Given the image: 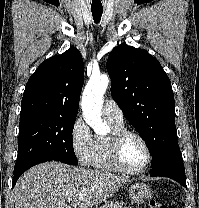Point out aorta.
<instances>
[{
    "label": "aorta",
    "mask_w": 199,
    "mask_h": 208,
    "mask_svg": "<svg viewBox=\"0 0 199 208\" xmlns=\"http://www.w3.org/2000/svg\"><path fill=\"white\" fill-rule=\"evenodd\" d=\"M108 84V75H92L82 96L81 106L84 119L98 135H105L110 130L101 118L103 95L106 92Z\"/></svg>",
    "instance_id": "1"
}]
</instances>
